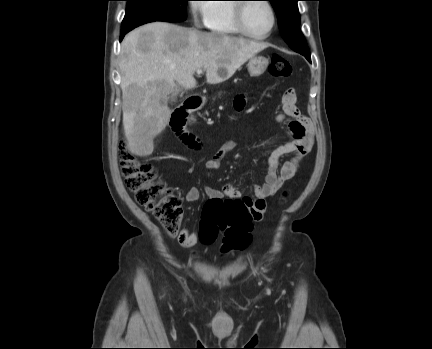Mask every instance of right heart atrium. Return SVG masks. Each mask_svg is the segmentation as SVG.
Segmentation results:
<instances>
[{
	"label": "right heart atrium",
	"instance_id": "right-heart-atrium-1",
	"mask_svg": "<svg viewBox=\"0 0 432 349\" xmlns=\"http://www.w3.org/2000/svg\"><path fill=\"white\" fill-rule=\"evenodd\" d=\"M189 9L193 23L200 25L205 21L209 3L207 0H191L189 1Z\"/></svg>",
	"mask_w": 432,
	"mask_h": 349
}]
</instances>
